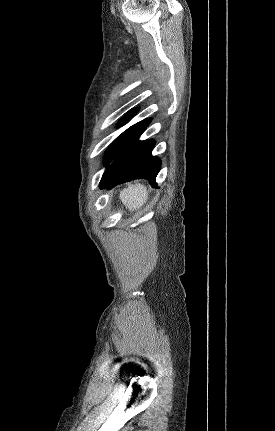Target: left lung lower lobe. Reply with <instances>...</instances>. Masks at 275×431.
Instances as JSON below:
<instances>
[{
    "instance_id": "1",
    "label": "left lung lower lobe",
    "mask_w": 275,
    "mask_h": 431,
    "mask_svg": "<svg viewBox=\"0 0 275 431\" xmlns=\"http://www.w3.org/2000/svg\"><path fill=\"white\" fill-rule=\"evenodd\" d=\"M144 129L129 142L116 156L103 173L100 188L114 186L134 179H147L156 187V176L161 168V161L151 151L155 145L153 140L139 141Z\"/></svg>"
}]
</instances>
